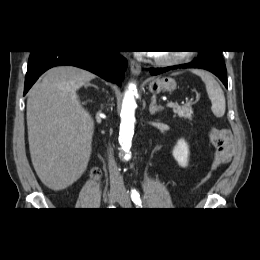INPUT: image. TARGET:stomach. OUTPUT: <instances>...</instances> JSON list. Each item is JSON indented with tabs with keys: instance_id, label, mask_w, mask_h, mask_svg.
I'll return each instance as SVG.
<instances>
[{
	"instance_id": "obj_1",
	"label": "stomach",
	"mask_w": 260,
	"mask_h": 260,
	"mask_svg": "<svg viewBox=\"0 0 260 260\" xmlns=\"http://www.w3.org/2000/svg\"><path fill=\"white\" fill-rule=\"evenodd\" d=\"M176 81L172 78H156L150 81L149 90L150 92L156 94L161 91L172 92L176 89Z\"/></svg>"
}]
</instances>
